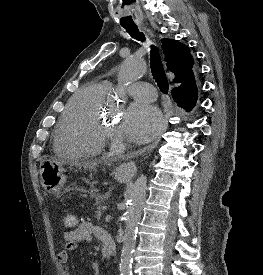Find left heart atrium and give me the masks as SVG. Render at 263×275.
Here are the masks:
<instances>
[{
	"label": "left heart atrium",
	"mask_w": 263,
	"mask_h": 275,
	"mask_svg": "<svg viewBox=\"0 0 263 275\" xmlns=\"http://www.w3.org/2000/svg\"><path fill=\"white\" fill-rule=\"evenodd\" d=\"M162 128L163 117L159 109L138 101L128 107L121 132L130 141L145 143L153 139Z\"/></svg>",
	"instance_id": "39dd6f15"
}]
</instances>
